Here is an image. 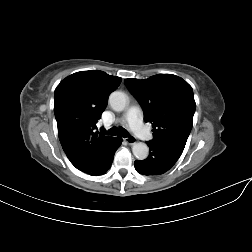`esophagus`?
<instances>
[{"mask_svg": "<svg viewBox=\"0 0 252 252\" xmlns=\"http://www.w3.org/2000/svg\"><path fill=\"white\" fill-rule=\"evenodd\" d=\"M129 145H133L136 142V138L133 136L126 137L124 139Z\"/></svg>", "mask_w": 252, "mask_h": 252, "instance_id": "34e87169", "label": "esophagus"}]
</instances>
